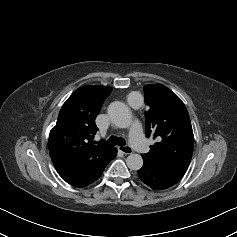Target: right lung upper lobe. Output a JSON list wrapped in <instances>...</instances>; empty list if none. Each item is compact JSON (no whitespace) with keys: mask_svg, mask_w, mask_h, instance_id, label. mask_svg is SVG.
<instances>
[{"mask_svg":"<svg viewBox=\"0 0 237 237\" xmlns=\"http://www.w3.org/2000/svg\"><path fill=\"white\" fill-rule=\"evenodd\" d=\"M111 87L87 85L78 88L63 104L56 125L49 134L50 156H64L86 165L99 162L109 156L114 147L94 144L98 130L95 118L102 104L110 95Z\"/></svg>","mask_w":237,"mask_h":237,"instance_id":"cb5924a9","label":"right lung upper lobe"}]
</instances>
